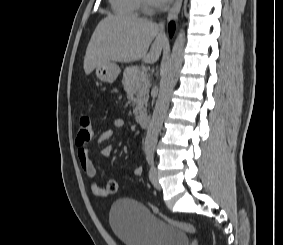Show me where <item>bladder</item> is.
<instances>
[{
	"label": "bladder",
	"instance_id": "31cf9c89",
	"mask_svg": "<svg viewBox=\"0 0 283 245\" xmlns=\"http://www.w3.org/2000/svg\"><path fill=\"white\" fill-rule=\"evenodd\" d=\"M109 221L126 245H190L187 234L133 199L115 201L110 208Z\"/></svg>",
	"mask_w": 283,
	"mask_h": 245
}]
</instances>
